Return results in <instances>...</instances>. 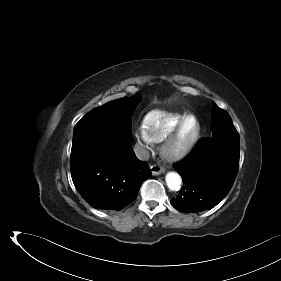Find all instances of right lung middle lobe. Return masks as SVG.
<instances>
[{
	"mask_svg": "<svg viewBox=\"0 0 281 281\" xmlns=\"http://www.w3.org/2000/svg\"><path fill=\"white\" fill-rule=\"evenodd\" d=\"M140 95L110 101L87 113L75 126L73 144L86 138H99L110 134L131 137V116Z\"/></svg>",
	"mask_w": 281,
	"mask_h": 281,
	"instance_id": "1",
	"label": "right lung middle lobe"
}]
</instances>
